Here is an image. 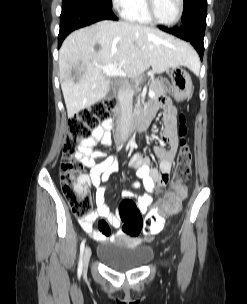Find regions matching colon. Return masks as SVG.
<instances>
[{"mask_svg": "<svg viewBox=\"0 0 247 304\" xmlns=\"http://www.w3.org/2000/svg\"><path fill=\"white\" fill-rule=\"evenodd\" d=\"M116 103V98L109 96L90 108L79 111L68 122V134L60 164V184L72 212L80 220L87 218L91 213V199L82 164L74 155L80 143L91 134L92 129L100 121L110 117ZM178 131L181 147L173 174V184L176 188L164 194L161 200L163 206L153 209L142 220L138 205L134 201L127 198L120 203L119 217L122 221V230L130 236H137L141 232L148 235L159 233L164 227L165 218L174 214L181 206L187 190V185L183 183L190 177L192 167V155L184 140L186 125L183 116L179 118Z\"/></svg>", "mask_w": 247, "mask_h": 304, "instance_id": "obj_1", "label": "colon"}]
</instances>
